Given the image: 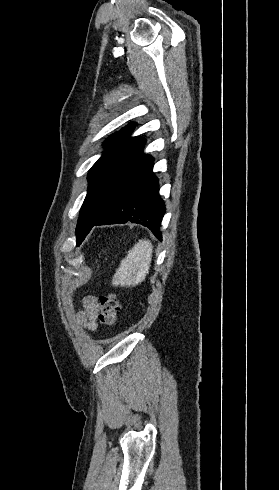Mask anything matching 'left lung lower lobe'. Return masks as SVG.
<instances>
[{
	"mask_svg": "<svg viewBox=\"0 0 279 490\" xmlns=\"http://www.w3.org/2000/svg\"><path fill=\"white\" fill-rule=\"evenodd\" d=\"M152 164V156L144 155L121 187L112 208L93 226L130 221L146 226L162 240L160 226L166 208L159 197L158 179L152 172Z\"/></svg>",
	"mask_w": 279,
	"mask_h": 490,
	"instance_id": "left-lung-lower-lobe-1",
	"label": "left lung lower lobe"
}]
</instances>
